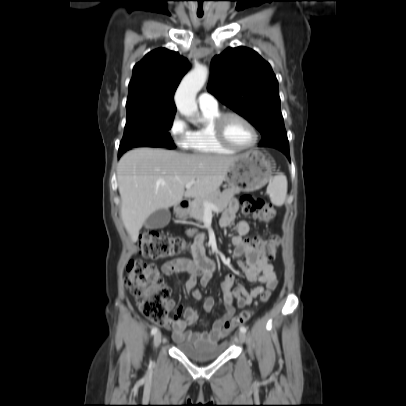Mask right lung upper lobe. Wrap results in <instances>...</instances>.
Instances as JSON below:
<instances>
[{
    "mask_svg": "<svg viewBox=\"0 0 406 406\" xmlns=\"http://www.w3.org/2000/svg\"><path fill=\"white\" fill-rule=\"evenodd\" d=\"M188 69V60L178 52L158 48L146 54L133 68L127 111L175 113L173 95Z\"/></svg>",
    "mask_w": 406,
    "mask_h": 406,
    "instance_id": "cb5924a9",
    "label": "right lung upper lobe"
}]
</instances>
